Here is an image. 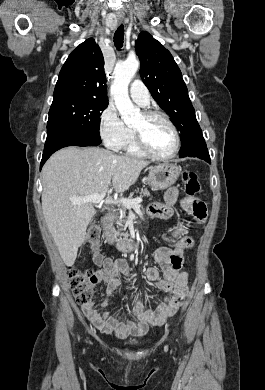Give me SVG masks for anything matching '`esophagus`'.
<instances>
[{"label":"esophagus","mask_w":265,"mask_h":390,"mask_svg":"<svg viewBox=\"0 0 265 390\" xmlns=\"http://www.w3.org/2000/svg\"><path fill=\"white\" fill-rule=\"evenodd\" d=\"M117 20H118L119 22H122L123 18H122V17H118Z\"/></svg>","instance_id":"1"}]
</instances>
